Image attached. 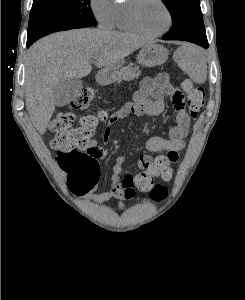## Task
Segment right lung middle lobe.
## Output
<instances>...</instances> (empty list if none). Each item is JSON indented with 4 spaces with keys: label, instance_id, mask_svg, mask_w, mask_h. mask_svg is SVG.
Returning a JSON list of instances; mask_svg holds the SVG:
<instances>
[{
    "label": "right lung middle lobe",
    "instance_id": "dd1d6c3e",
    "mask_svg": "<svg viewBox=\"0 0 245 300\" xmlns=\"http://www.w3.org/2000/svg\"><path fill=\"white\" fill-rule=\"evenodd\" d=\"M97 26L90 0H33L28 39H37L62 30Z\"/></svg>",
    "mask_w": 245,
    "mask_h": 300
}]
</instances>
